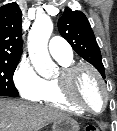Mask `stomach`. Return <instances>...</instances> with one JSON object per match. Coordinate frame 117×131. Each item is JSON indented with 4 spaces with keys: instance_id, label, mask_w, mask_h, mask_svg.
<instances>
[{
    "instance_id": "0dacf381",
    "label": "stomach",
    "mask_w": 117,
    "mask_h": 131,
    "mask_svg": "<svg viewBox=\"0 0 117 131\" xmlns=\"http://www.w3.org/2000/svg\"><path fill=\"white\" fill-rule=\"evenodd\" d=\"M79 129L78 122L70 117L59 118L52 125V131H79Z\"/></svg>"
}]
</instances>
